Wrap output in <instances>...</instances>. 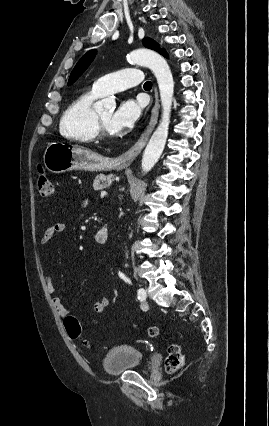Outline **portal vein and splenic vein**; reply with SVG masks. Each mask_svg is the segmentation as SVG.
Masks as SVG:
<instances>
[{
  "instance_id": "obj_1",
  "label": "portal vein and splenic vein",
  "mask_w": 269,
  "mask_h": 426,
  "mask_svg": "<svg viewBox=\"0 0 269 426\" xmlns=\"http://www.w3.org/2000/svg\"><path fill=\"white\" fill-rule=\"evenodd\" d=\"M107 195V192L106 191H102L101 192V197H104V196H106Z\"/></svg>"
}]
</instances>
